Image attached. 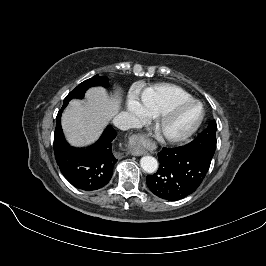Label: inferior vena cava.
Returning a JSON list of instances; mask_svg holds the SVG:
<instances>
[{"instance_id":"obj_1","label":"inferior vena cava","mask_w":266,"mask_h":266,"mask_svg":"<svg viewBox=\"0 0 266 266\" xmlns=\"http://www.w3.org/2000/svg\"><path fill=\"white\" fill-rule=\"evenodd\" d=\"M114 125L121 130H128L130 128H137L140 125L139 120L132 114L121 112L113 119Z\"/></svg>"}]
</instances>
